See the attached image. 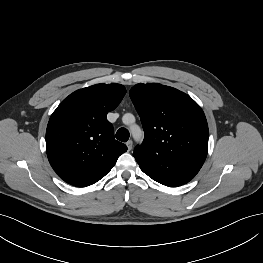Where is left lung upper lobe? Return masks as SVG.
<instances>
[{
    "label": "left lung upper lobe",
    "mask_w": 263,
    "mask_h": 263,
    "mask_svg": "<svg viewBox=\"0 0 263 263\" xmlns=\"http://www.w3.org/2000/svg\"><path fill=\"white\" fill-rule=\"evenodd\" d=\"M129 95L140 115L145 137L133 156L154 170L175 164L195 173L208 150V124L200 106L187 94L161 84H137Z\"/></svg>",
    "instance_id": "obj_1"
}]
</instances>
